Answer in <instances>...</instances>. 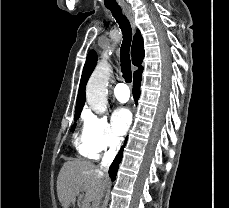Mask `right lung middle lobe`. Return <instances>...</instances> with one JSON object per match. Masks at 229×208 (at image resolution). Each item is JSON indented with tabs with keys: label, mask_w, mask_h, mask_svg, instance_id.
I'll list each match as a JSON object with an SVG mask.
<instances>
[{
	"label": "right lung middle lobe",
	"mask_w": 229,
	"mask_h": 208,
	"mask_svg": "<svg viewBox=\"0 0 229 208\" xmlns=\"http://www.w3.org/2000/svg\"><path fill=\"white\" fill-rule=\"evenodd\" d=\"M75 120H77V119H75ZM75 126H76V124L73 125V127H72V129H71L72 131L74 130Z\"/></svg>",
	"instance_id": "right-lung-middle-lobe-1"
}]
</instances>
